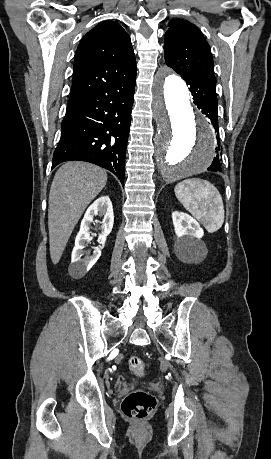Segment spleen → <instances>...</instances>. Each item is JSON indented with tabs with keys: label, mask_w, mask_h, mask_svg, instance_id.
Returning a JSON list of instances; mask_svg holds the SVG:
<instances>
[{
	"label": "spleen",
	"mask_w": 271,
	"mask_h": 459,
	"mask_svg": "<svg viewBox=\"0 0 271 459\" xmlns=\"http://www.w3.org/2000/svg\"><path fill=\"white\" fill-rule=\"evenodd\" d=\"M175 196L184 208L197 218L204 228L213 233L224 222L222 198L215 186L207 180H183L175 186Z\"/></svg>",
	"instance_id": "spleen-1"
}]
</instances>
